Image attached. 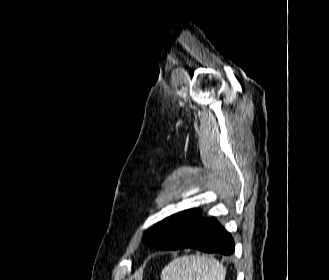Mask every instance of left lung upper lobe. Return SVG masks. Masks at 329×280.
I'll return each instance as SVG.
<instances>
[{
    "instance_id": "5c2ea615",
    "label": "left lung upper lobe",
    "mask_w": 329,
    "mask_h": 280,
    "mask_svg": "<svg viewBox=\"0 0 329 280\" xmlns=\"http://www.w3.org/2000/svg\"><path fill=\"white\" fill-rule=\"evenodd\" d=\"M165 220L155 225L149 231H147L143 236V242L155 248H163L168 244V236L162 233V228L160 225L164 223Z\"/></svg>"
}]
</instances>
